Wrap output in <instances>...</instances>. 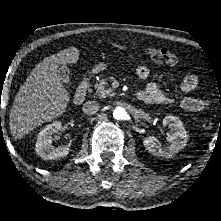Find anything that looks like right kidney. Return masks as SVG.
Segmentation results:
<instances>
[{
  "instance_id": "obj_1",
  "label": "right kidney",
  "mask_w": 221,
  "mask_h": 221,
  "mask_svg": "<svg viewBox=\"0 0 221 221\" xmlns=\"http://www.w3.org/2000/svg\"><path fill=\"white\" fill-rule=\"evenodd\" d=\"M61 129L62 123L55 121L39 132L35 151L41 158L45 160H57L69 154L70 149L67 145H62L58 148L52 145V135L58 133Z\"/></svg>"
}]
</instances>
